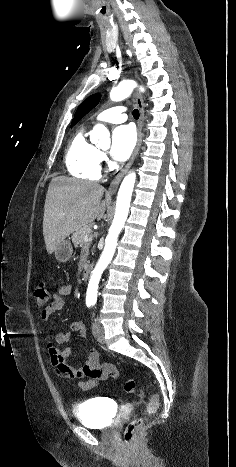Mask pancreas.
I'll use <instances>...</instances> for the list:
<instances>
[{
    "label": "pancreas",
    "instance_id": "1",
    "mask_svg": "<svg viewBox=\"0 0 236 467\" xmlns=\"http://www.w3.org/2000/svg\"><path fill=\"white\" fill-rule=\"evenodd\" d=\"M91 233H92V230L89 227H83V228L78 229L76 232H74L71 236L74 246L75 247L80 246L83 249H86L90 245V241L85 242L84 237L86 235L91 236Z\"/></svg>",
    "mask_w": 236,
    "mask_h": 467
}]
</instances>
